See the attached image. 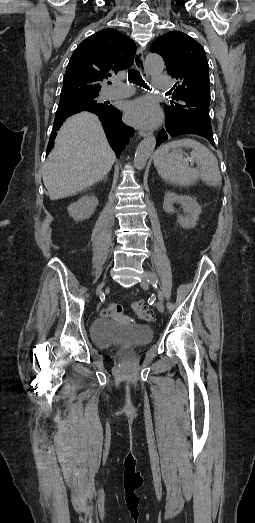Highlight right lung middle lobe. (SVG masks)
<instances>
[{
  "label": "right lung middle lobe",
  "instance_id": "right-lung-middle-lobe-1",
  "mask_svg": "<svg viewBox=\"0 0 255 523\" xmlns=\"http://www.w3.org/2000/svg\"><path fill=\"white\" fill-rule=\"evenodd\" d=\"M99 94H87V93H69L62 94L60 99L73 100V106L75 108L88 109L90 107V100L96 99Z\"/></svg>",
  "mask_w": 255,
  "mask_h": 523
}]
</instances>
